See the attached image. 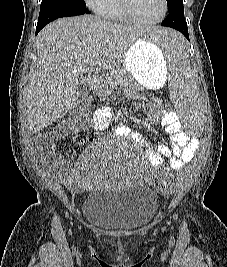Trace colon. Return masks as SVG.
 I'll return each instance as SVG.
<instances>
[{
    "label": "colon",
    "mask_w": 227,
    "mask_h": 267,
    "mask_svg": "<svg viewBox=\"0 0 227 267\" xmlns=\"http://www.w3.org/2000/svg\"><path fill=\"white\" fill-rule=\"evenodd\" d=\"M163 109H171L173 101L163 100ZM89 110V101L87 99H81L76 105V117L75 121L82 123L86 117ZM67 127L65 125L59 126L55 131L48 137L50 140L57 139L65 134ZM182 176V171L172 169H165V173H161L160 180V191L165 195H170L175 189V178H180Z\"/></svg>",
    "instance_id": "5ec220e1"
}]
</instances>
